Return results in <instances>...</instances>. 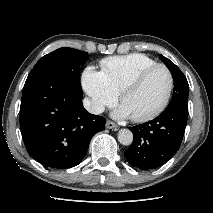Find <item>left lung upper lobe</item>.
<instances>
[{
	"label": "left lung upper lobe",
	"instance_id": "left-lung-upper-lobe-1",
	"mask_svg": "<svg viewBox=\"0 0 213 213\" xmlns=\"http://www.w3.org/2000/svg\"><path fill=\"white\" fill-rule=\"evenodd\" d=\"M173 75L174 91L168 106L181 105L188 108L189 85L182 71L168 58L160 56Z\"/></svg>",
	"mask_w": 213,
	"mask_h": 213
}]
</instances>
